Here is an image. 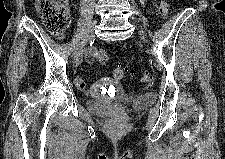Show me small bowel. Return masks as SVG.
Segmentation results:
<instances>
[{"instance_id": "c3829d8e", "label": "small bowel", "mask_w": 225, "mask_h": 159, "mask_svg": "<svg viewBox=\"0 0 225 159\" xmlns=\"http://www.w3.org/2000/svg\"><path fill=\"white\" fill-rule=\"evenodd\" d=\"M95 50H96V49L93 48V49H90V50L88 51V53L86 54V59H87V61L91 62V61L94 59ZM75 82H76L77 87H78L80 90H82V91H84V92H87V93H89V94L94 93L95 90H96V86L93 87V88H91V89H88L87 86H86L85 81H84L82 78H80V77H78V78L76 79ZM107 83H110V81H109V80H106V79L100 80V82H99V84H107Z\"/></svg>"}]
</instances>
